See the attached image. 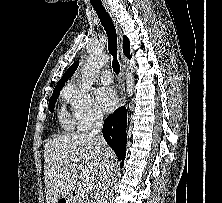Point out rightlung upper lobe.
Wrapping results in <instances>:
<instances>
[{
	"instance_id": "cb5924a9",
	"label": "right lung upper lobe",
	"mask_w": 222,
	"mask_h": 203,
	"mask_svg": "<svg viewBox=\"0 0 222 203\" xmlns=\"http://www.w3.org/2000/svg\"><path fill=\"white\" fill-rule=\"evenodd\" d=\"M78 65H79V61L75 62L72 66L69 67V69L64 73L62 78L57 83L53 92L60 91L64 87L65 82L74 74Z\"/></svg>"
}]
</instances>
